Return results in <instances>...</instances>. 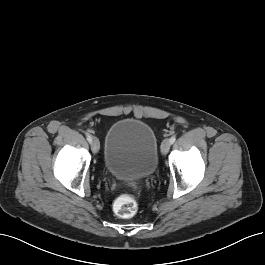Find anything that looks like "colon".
<instances>
[{
    "label": "colon",
    "mask_w": 265,
    "mask_h": 265,
    "mask_svg": "<svg viewBox=\"0 0 265 265\" xmlns=\"http://www.w3.org/2000/svg\"><path fill=\"white\" fill-rule=\"evenodd\" d=\"M115 209L118 216L122 218H130L135 215L137 204L131 195L123 194L117 199Z\"/></svg>",
    "instance_id": "obj_1"
}]
</instances>
